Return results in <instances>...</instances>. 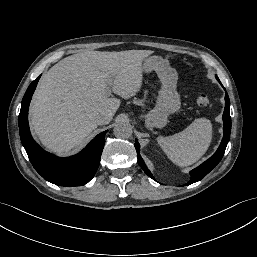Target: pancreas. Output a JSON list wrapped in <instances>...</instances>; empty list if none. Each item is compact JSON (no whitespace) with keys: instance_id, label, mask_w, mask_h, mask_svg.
I'll use <instances>...</instances> for the list:
<instances>
[{"instance_id":"obj_1","label":"pancreas","mask_w":257,"mask_h":257,"mask_svg":"<svg viewBox=\"0 0 257 257\" xmlns=\"http://www.w3.org/2000/svg\"><path fill=\"white\" fill-rule=\"evenodd\" d=\"M144 102V100H141V103H143Z\"/></svg>"}]
</instances>
